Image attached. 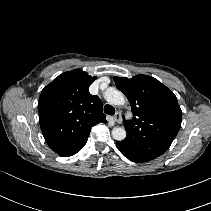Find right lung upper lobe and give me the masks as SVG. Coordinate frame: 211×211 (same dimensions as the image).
<instances>
[{
    "label": "right lung upper lobe",
    "mask_w": 211,
    "mask_h": 211,
    "mask_svg": "<svg viewBox=\"0 0 211 211\" xmlns=\"http://www.w3.org/2000/svg\"><path fill=\"white\" fill-rule=\"evenodd\" d=\"M95 79L76 69L59 75L41 92L38 102L41 130L47 144L60 156L80 151L92 126L107 122L101 100L89 93Z\"/></svg>",
    "instance_id": "cb5924a9"
}]
</instances>
